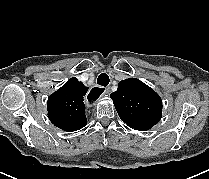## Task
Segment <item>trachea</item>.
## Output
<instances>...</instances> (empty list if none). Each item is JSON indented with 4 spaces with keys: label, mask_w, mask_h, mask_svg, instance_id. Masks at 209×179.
<instances>
[{
    "label": "trachea",
    "mask_w": 209,
    "mask_h": 179,
    "mask_svg": "<svg viewBox=\"0 0 209 179\" xmlns=\"http://www.w3.org/2000/svg\"><path fill=\"white\" fill-rule=\"evenodd\" d=\"M109 81V76L105 73L100 74L97 79V83L104 87H106L109 84Z\"/></svg>",
    "instance_id": "obj_1"
}]
</instances>
